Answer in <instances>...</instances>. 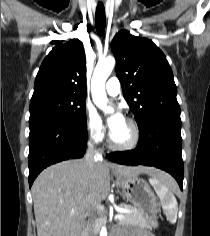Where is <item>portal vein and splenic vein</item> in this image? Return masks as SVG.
I'll list each match as a JSON object with an SVG mask.
<instances>
[{"label": "portal vein and splenic vein", "mask_w": 210, "mask_h": 236, "mask_svg": "<svg viewBox=\"0 0 210 236\" xmlns=\"http://www.w3.org/2000/svg\"><path fill=\"white\" fill-rule=\"evenodd\" d=\"M127 210H123L122 212H126ZM115 219L122 220L124 218V215L122 213H118L115 216Z\"/></svg>", "instance_id": "obj_1"}]
</instances>
